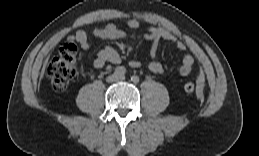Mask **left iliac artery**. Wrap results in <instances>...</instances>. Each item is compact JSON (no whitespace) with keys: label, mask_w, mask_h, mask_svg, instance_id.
Returning <instances> with one entry per match:
<instances>
[{"label":"left iliac artery","mask_w":259,"mask_h":156,"mask_svg":"<svg viewBox=\"0 0 259 156\" xmlns=\"http://www.w3.org/2000/svg\"><path fill=\"white\" fill-rule=\"evenodd\" d=\"M131 81L134 82V83H138L139 82V77L137 75H133L131 77Z\"/></svg>","instance_id":"obj_1"}]
</instances>
